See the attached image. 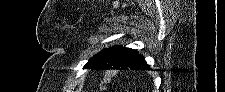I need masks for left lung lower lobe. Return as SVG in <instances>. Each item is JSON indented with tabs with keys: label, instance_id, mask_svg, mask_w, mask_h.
<instances>
[{
	"label": "left lung lower lobe",
	"instance_id": "left-lung-lower-lobe-1",
	"mask_svg": "<svg viewBox=\"0 0 225 92\" xmlns=\"http://www.w3.org/2000/svg\"><path fill=\"white\" fill-rule=\"evenodd\" d=\"M149 70L150 67L144 60V57L136 50L130 48H120L109 56L95 70Z\"/></svg>",
	"mask_w": 225,
	"mask_h": 92
}]
</instances>
